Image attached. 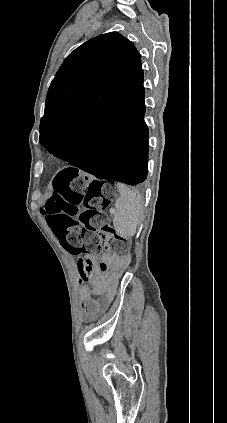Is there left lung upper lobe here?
<instances>
[{"label": "left lung upper lobe", "mask_w": 227, "mask_h": 423, "mask_svg": "<svg viewBox=\"0 0 227 423\" xmlns=\"http://www.w3.org/2000/svg\"><path fill=\"white\" fill-rule=\"evenodd\" d=\"M140 54L117 32L75 49L51 82L40 121V144L82 135L107 113L145 111Z\"/></svg>", "instance_id": "left-lung-upper-lobe-1"}]
</instances>
